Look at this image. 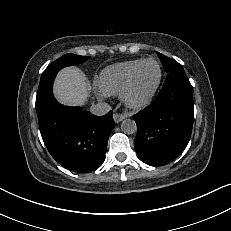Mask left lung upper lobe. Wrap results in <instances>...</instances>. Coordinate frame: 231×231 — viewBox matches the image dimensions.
Masks as SVG:
<instances>
[{
  "instance_id": "left-lung-upper-lobe-1",
  "label": "left lung upper lobe",
  "mask_w": 231,
  "mask_h": 231,
  "mask_svg": "<svg viewBox=\"0 0 231 231\" xmlns=\"http://www.w3.org/2000/svg\"><path fill=\"white\" fill-rule=\"evenodd\" d=\"M158 56L163 64L164 70L168 73L173 69L182 67L177 61L170 59L169 57L164 56L161 53H158Z\"/></svg>"
}]
</instances>
